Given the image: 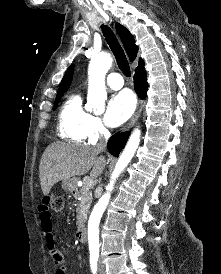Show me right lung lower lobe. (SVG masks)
<instances>
[{"instance_id":"obj_1","label":"right lung lower lobe","mask_w":221,"mask_h":274,"mask_svg":"<svg viewBox=\"0 0 221 274\" xmlns=\"http://www.w3.org/2000/svg\"><path fill=\"white\" fill-rule=\"evenodd\" d=\"M134 87L137 95L140 98L144 99L146 97L148 88L146 71L144 68L135 71ZM128 136L129 132H123L121 134L116 133L115 135H113L107 143V148L109 152L115 157H118L120 151L124 148L126 144Z\"/></svg>"}]
</instances>
